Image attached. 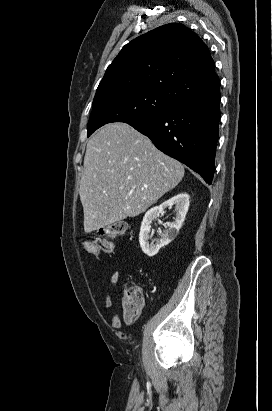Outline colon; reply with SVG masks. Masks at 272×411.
Returning a JSON list of instances; mask_svg holds the SVG:
<instances>
[{"instance_id":"5ec220e1","label":"colon","mask_w":272,"mask_h":411,"mask_svg":"<svg viewBox=\"0 0 272 411\" xmlns=\"http://www.w3.org/2000/svg\"><path fill=\"white\" fill-rule=\"evenodd\" d=\"M127 228L124 221H116L103 226L95 236L83 242L84 250L92 255L113 251V240L122 235ZM143 306V293L139 286L128 285L123 293V318L126 322L137 320Z\"/></svg>"}]
</instances>
